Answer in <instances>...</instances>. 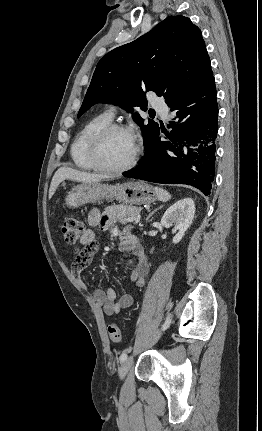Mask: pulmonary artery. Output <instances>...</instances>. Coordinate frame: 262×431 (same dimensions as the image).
Returning <instances> with one entry per match:
<instances>
[{
    "instance_id": "pulmonary-artery-1",
    "label": "pulmonary artery",
    "mask_w": 262,
    "mask_h": 431,
    "mask_svg": "<svg viewBox=\"0 0 262 431\" xmlns=\"http://www.w3.org/2000/svg\"><path fill=\"white\" fill-rule=\"evenodd\" d=\"M152 106L155 109H157L159 112H161V114L164 117L167 116V114H168V108H167V106H166V104H165V102H164V100L162 98H159V97L155 98L154 101L152 102ZM114 112H115L114 108H111V109L108 110L107 114L110 117H113L114 116Z\"/></svg>"
}]
</instances>
